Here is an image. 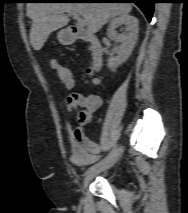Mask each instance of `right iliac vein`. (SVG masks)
I'll use <instances>...</instances> for the list:
<instances>
[{
    "mask_svg": "<svg viewBox=\"0 0 188 213\" xmlns=\"http://www.w3.org/2000/svg\"><path fill=\"white\" fill-rule=\"evenodd\" d=\"M121 152H122V148H118L116 150V152L114 153V155L104 164L100 165L99 167H97L95 170L91 171L90 173H88L83 181V191L85 190V188L87 187L88 183L99 173L106 171L108 169H110L111 167H113L115 165V163L118 161V159L121 156Z\"/></svg>",
    "mask_w": 188,
    "mask_h": 213,
    "instance_id": "63e3f726",
    "label": "right iliac vein"
}]
</instances>
